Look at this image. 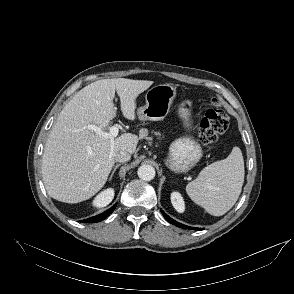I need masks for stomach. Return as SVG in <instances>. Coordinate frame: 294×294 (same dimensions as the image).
Here are the masks:
<instances>
[{"mask_svg": "<svg viewBox=\"0 0 294 294\" xmlns=\"http://www.w3.org/2000/svg\"><path fill=\"white\" fill-rule=\"evenodd\" d=\"M176 87L170 84H159L150 88L145 94L146 104L137 111L141 121H159L169 113L171 104L176 97ZM192 102L183 101L178 107V114L185 127L190 126ZM200 144L192 137L185 136L173 141L169 147L167 166L176 173L189 171L202 157Z\"/></svg>", "mask_w": 294, "mask_h": 294, "instance_id": "stomach-1", "label": "stomach"}]
</instances>
